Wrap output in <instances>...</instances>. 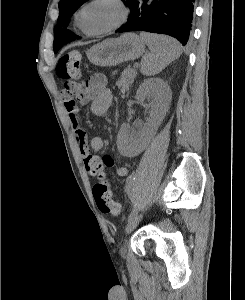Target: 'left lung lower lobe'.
Listing matches in <instances>:
<instances>
[{
    "mask_svg": "<svg viewBox=\"0 0 245 300\" xmlns=\"http://www.w3.org/2000/svg\"><path fill=\"white\" fill-rule=\"evenodd\" d=\"M194 0H134L128 22L115 32L147 31L167 34L186 45Z\"/></svg>",
    "mask_w": 245,
    "mask_h": 300,
    "instance_id": "left-lung-lower-lobe-1",
    "label": "left lung lower lobe"
}]
</instances>
